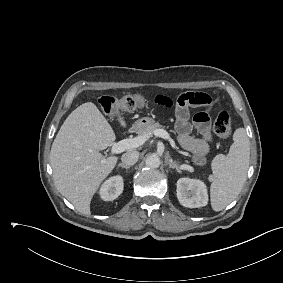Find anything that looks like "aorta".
<instances>
[{"mask_svg": "<svg viewBox=\"0 0 283 283\" xmlns=\"http://www.w3.org/2000/svg\"><path fill=\"white\" fill-rule=\"evenodd\" d=\"M145 163L149 168H158L160 166V159L156 155H151L146 158Z\"/></svg>", "mask_w": 283, "mask_h": 283, "instance_id": "1", "label": "aorta"}]
</instances>
